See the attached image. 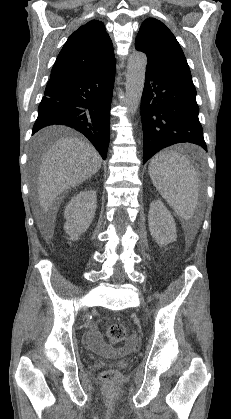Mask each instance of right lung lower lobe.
Here are the masks:
<instances>
[{
  "label": "right lung lower lobe",
  "instance_id": "1",
  "mask_svg": "<svg viewBox=\"0 0 231 419\" xmlns=\"http://www.w3.org/2000/svg\"><path fill=\"white\" fill-rule=\"evenodd\" d=\"M116 65L101 71L52 76L46 86L33 132L55 124L84 134L105 159Z\"/></svg>",
  "mask_w": 231,
  "mask_h": 419
}]
</instances>
